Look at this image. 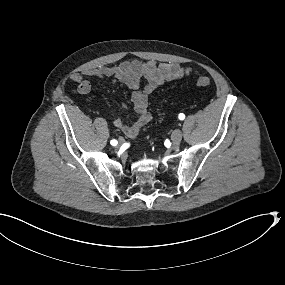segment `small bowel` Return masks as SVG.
<instances>
[{
	"label": "small bowel",
	"instance_id": "obj_1",
	"mask_svg": "<svg viewBox=\"0 0 285 285\" xmlns=\"http://www.w3.org/2000/svg\"><path fill=\"white\" fill-rule=\"evenodd\" d=\"M190 73V68L177 63L132 59L114 66H104L74 74L71 80L77 85L79 94H88L92 91L93 84L87 79L88 77L125 84L131 90V102L138 119L133 125H127L120 116H117L112 119V123L126 136L135 137L152 119L148 109L149 96L162 84L187 77ZM142 81L145 82L144 85ZM119 110L123 115L127 111V106L122 104Z\"/></svg>",
	"mask_w": 285,
	"mask_h": 285
}]
</instances>
